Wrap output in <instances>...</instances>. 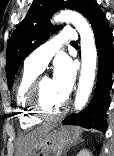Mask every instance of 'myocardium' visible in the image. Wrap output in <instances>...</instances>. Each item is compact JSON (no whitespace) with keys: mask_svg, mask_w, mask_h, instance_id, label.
<instances>
[{"mask_svg":"<svg viewBox=\"0 0 114 156\" xmlns=\"http://www.w3.org/2000/svg\"><path fill=\"white\" fill-rule=\"evenodd\" d=\"M45 77H37L33 82L29 95H28V105L31 111L39 118L44 119H51V118H58L65 114L68 101L65 99L59 109L55 111H49L44 107L43 99H42V89L41 83Z\"/></svg>","mask_w":114,"mask_h":156,"instance_id":"f54148a6","label":"myocardium"}]
</instances>
